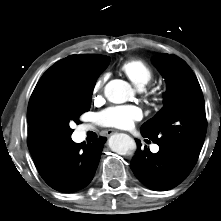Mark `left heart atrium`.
<instances>
[{"mask_svg":"<svg viewBox=\"0 0 221 221\" xmlns=\"http://www.w3.org/2000/svg\"><path fill=\"white\" fill-rule=\"evenodd\" d=\"M142 118L140 108L134 105L114 106L104 110L100 114L101 122L109 127L119 129L131 128L134 122Z\"/></svg>","mask_w":221,"mask_h":221,"instance_id":"1","label":"left heart atrium"}]
</instances>
